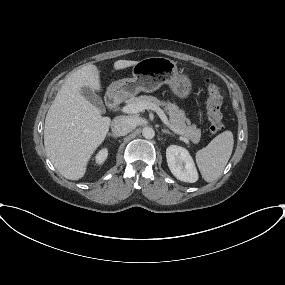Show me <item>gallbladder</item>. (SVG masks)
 Returning <instances> with one entry per match:
<instances>
[{
    "mask_svg": "<svg viewBox=\"0 0 285 285\" xmlns=\"http://www.w3.org/2000/svg\"><path fill=\"white\" fill-rule=\"evenodd\" d=\"M80 93L92 104L100 109L101 112L105 110L102 99L96 94V92L89 87H82Z\"/></svg>",
    "mask_w": 285,
    "mask_h": 285,
    "instance_id": "1",
    "label": "gallbladder"
}]
</instances>
